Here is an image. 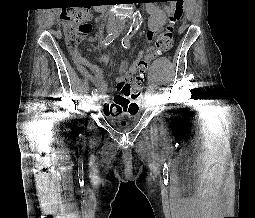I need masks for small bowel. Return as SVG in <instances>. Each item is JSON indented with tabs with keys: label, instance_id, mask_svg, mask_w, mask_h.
Segmentation results:
<instances>
[{
	"label": "small bowel",
	"instance_id": "small-bowel-1",
	"mask_svg": "<svg viewBox=\"0 0 255 218\" xmlns=\"http://www.w3.org/2000/svg\"><path fill=\"white\" fill-rule=\"evenodd\" d=\"M178 6L182 9V2H180L178 5L172 3L163 8H158L154 4H148L146 6V10L148 13V27H149V31L146 35L147 43H150L154 39V37L159 33L160 28L163 25L166 17L173 14ZM150 52H151V49L148 48L146 51V54H143V53L139 54L138 58L134 61V63L129 68H127L126 61H123L121 63L120 75L116 78L117 93L104 107L105 114L115 113V110L120 105H123L129 102L130 98L128 94L124 91V89H122V87L125 84H129V81L136 76L137 72L139 71L138 65L141 61H144L146 63V67L148 66L149 61L152 58H154V56H150ZM109 60L110 58L108 55H102L100 57V61L105 65L109 63ZM82 62H83L82 68L84 70L86 78L97 87V91L100 95V98L103 100L104 94L109 89L108 82L106 78L104 77L103 72L97 65L85 59H82ZM125 73L127 77L124 76ZM143 76H144V73L141 74V78H143Z\"/></svg>",
	"mask_w": 255,
	"mask_h": 218
}]
</instances>
